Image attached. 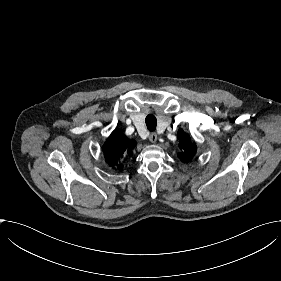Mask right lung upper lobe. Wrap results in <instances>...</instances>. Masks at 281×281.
<instances>
[{
  "label": "right lung upper lobe",
  "instance_id": "1",
  "mask_svg": "<svg viewBox=\"0 0 281 281\" xmlns=\"http://www.w3.org/2000/svg\"><path fill=\"white\" fill-rule=\"evenodd\" d=\"M135 146V140H129L122 132L114 130L103 145V153L106 162L115 170H122L123 165L120 164V159L124 154L130 156Z\"/></svg>",
  "mask_w": 281,
  "mask_h": 281
}]
</instances>
